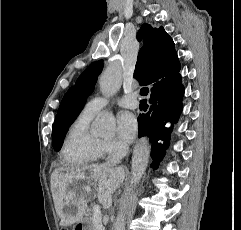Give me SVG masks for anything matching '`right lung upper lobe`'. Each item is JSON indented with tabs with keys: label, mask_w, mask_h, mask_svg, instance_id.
Listing matches in <instances>:
<instances>
[{
	"label": "right lung upper lobe",
	"mask_w": 241,
	"mask_h": 230,
	"mask_svg": "<svg viewBox=\"0 0 241 230\" xmlns=\"http://www.w3.org/2000/svg\"><path fill=\"white\" fill-rule=\"evenodd\" d=\"M137 39L144 43L139 51L134 73L141 85L154 86L180 67L175 44L162 26L157 29L143 24Z\"/></svg>",
	"instance_id": "right-lung-upper-lobe-1"
}]
</instances>
